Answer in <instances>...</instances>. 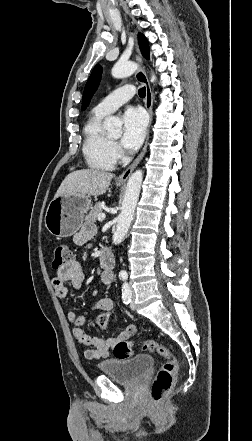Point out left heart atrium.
Segmentation results:
<instances>
[{
    "mask_svg": "<svg viewBox=\"0 0 252 441\" xmlns=\"http://www.w3.org/2000/svg\"><path fill=\"white\" fill-rule=\"evenodd\" d=\"M146 126L147 117L141 108H127L123 115L122 146L130 151L139 148L145 138Z\"/></svg>",
    "mask_w": 252,
    "mask_h": 441,
    "instance_id": "obj_1",
    "label": "left heart atrium"
}]
</instances>
